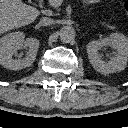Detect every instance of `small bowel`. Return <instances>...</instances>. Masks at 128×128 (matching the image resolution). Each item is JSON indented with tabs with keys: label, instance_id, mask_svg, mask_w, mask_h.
I'll return each instance as SVG.
<instances>
[{
	"label": "small bowel",
	"instance_id": "c3829d8e",
	"mask_svg": "<svg viewBox=\"0 0 128 128\" xmlns=\"http://www.w3.org/2000/svg\"><path fill=\"white\" fill-rule=\"evenodd\" d=\"M89 1L92 3H97V2H100L101 0H89Z\"/></svg>",
	"mask_w": 128,
	"mask_h": 128
}]
</instances>
